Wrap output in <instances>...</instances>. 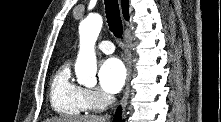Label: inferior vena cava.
<instances>
[{
  "label": "inferior vena cava",
  "mask_w": 221,
  "mask_h": 122,
  "mask_svg": "<svg viewBox=\"0 0 221 122\" xmlns=\"http://www.w3.org/2000/svg\"><path fill=\"white\" fill-rule=\"evenodd\" d=\"M111 101L114 102L115 101V97L112 96L111 97ZM106 117H107V115L104 116V118H106Z\"/></svg>",
  "instance_id": "602c4592"
}]
</instances>
